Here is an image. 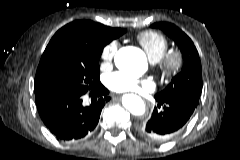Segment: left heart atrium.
I'll return each instance as SVG.
<instances>
[{
    "instance_id": "39dd6f15",
    "label": "left heart atrium",
    "mask_w": 240,
    "mask_h": 160,
    "mask_svg": "<svg viewBox=\"0 0 240 160\" xmlns=\"http://www.w3.org/2000/svg\"><path fill=\"white\" fill-rule=\"evenodd\" d=\"M107 84L110 89L116 92H132L140 88H151L149 81L138 80L122 73H114L110 75Z\"/></svg>"
}]
</instances>
